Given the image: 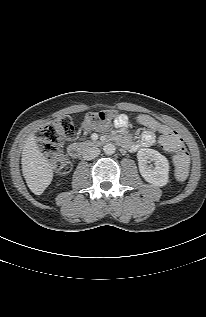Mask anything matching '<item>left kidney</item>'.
<instances>
[{"label": "left kidney", "instance_id": "obj_1", "mask_svg": "<svg viewBox=\"0 0 206 317\" xmlns=\"http://www.w3.org/2000/svg\"><path fill=\"white\" fill-rule=\"evenodd\" d=\"M141 176L155 186H165L168 183L169 162L165 156L154 149H140L137 153ZM154 161V167L148 165Z\"/></svg>", "mask_w": 206, "mask_h": 317}]
</instances>
